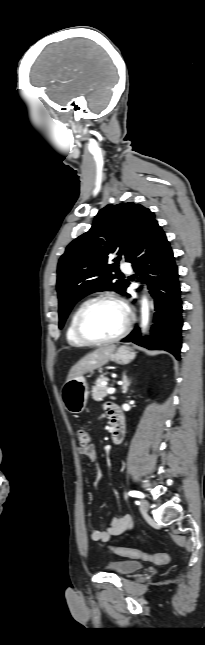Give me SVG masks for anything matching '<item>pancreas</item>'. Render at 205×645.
<instances>
[{"label":"pancreas","instance_id":"1","mask_svg":"<svg viewBox=\"0 0 205 645\" xmlns=\"http://www.w3.org/2000/svg\"><path fill=\"white\" fill-rule=\"evenodd\" d=\"M107 378H102L96 382L95 386L92 388V397L96 401L102 400L107 395L108 386L102 385L103 381H106Z\"/></svg>","mask_w":205,"mask_h":645}]
</instances>
